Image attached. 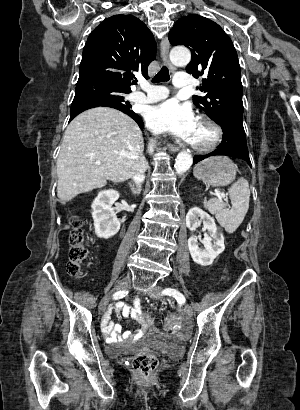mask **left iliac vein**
<instances>
[{
	"label": "left iliac vein",
	"mask_w": 300,
	"mask_h": 410,
	"mask_svg": "<svg viewBox=\"0 0 300 410\" xmlns=\"http://www.w3.org/2000/svg\"><path fill=\"white\" fill-rule=\"evenodd\" d=\"M161 290L162 288L159 286H155L151 291L148 292V295L150 296V298L152 299H160L161 298ZM185 313L188 316H192L193 314V309L190 305L186 304L184 307Z\"/></svg>",
	"instance_id": "obj_1"
}]
</instances>
